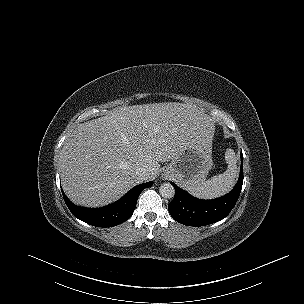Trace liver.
<instances>
[{"label": "liver", "instance_id": "1", "mask_svg": "<svg viewBox=\"0 0 304 304\" xmlns=\"http://www.w3.org/2000/svg\"><path fill=\"white\" fill-rule=\"evenodd\" d=\"M211 118L193 105L176 102L133 105L80 124L61 152L60 176L67 197L96 208L142 183L135 171L156 178L159 162L173 160L198 140L210 146Z\"/></svg>", "mask_w": 304, "mask_h": 304}]
</instances>
